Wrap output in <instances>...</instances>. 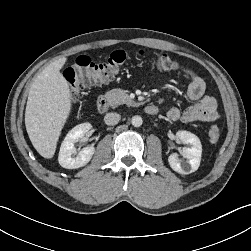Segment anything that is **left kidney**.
I'll return each instance as SVG.
<instances>
[{
    "label": "left kidney",
    "instance_id": "left-kidney-1",
    "mask_svg": "<svg viewBox=\"0 0 251 251\" xmlns=\"http://www.w3.org/2000/svg\"><path fill=\"white\" fill-rule=\"evenodd\" d=\"M177 137L183 144L188 145L182 149L181 155L186 160H180L178 154L173 153L168 157L170 167L179 174L195 172L201 161L202 145L199 138L188 131H178Z\"/></svg>",
    "mask_w": 251,
    "mask_h": 251
}]
</instances>
